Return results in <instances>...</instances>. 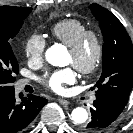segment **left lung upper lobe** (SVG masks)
Masks as SVG:
<instances>
[{
  "label": "left lung upper lobe",
  "instance_id": "obj_1",
  "mask_svg": "<svg viewBox=\"0 0 133 133\" xmlns=\"http://www.w3.org/2000/svg\"><path fill=\"white\" fill-rule=\"evenodd\" d=\"M90 9L103 34L102 74L93 89L127 104L133 87V46L122 23L110 11L93 3Z\"/></svg>",
  "mask_w": 133,
  "mask_h": 133
}]
</instances>
